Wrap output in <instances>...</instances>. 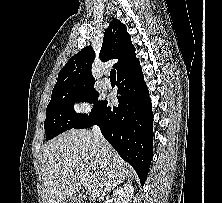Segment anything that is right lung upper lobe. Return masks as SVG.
I'll use <instances>...</instances> for the list:
<instances>
[{
	"label": "right lung upper lobe",
	"instance_id": "cb5924a9",
	"mask_svg": "<svg viewBox=\"0 0 222 203\" xmlns=\"http://www.w3.org/2000/svg\"><path fill=\"white\" fill-rule=\"evenodd\" d=\"M100 60L105 62L110 59H118L113 65L117 75L139 64L136 58L135 48L131 42V36L127 33L124 24L113 19L105 30ZM95 52L92 46H86L75 54L61 69L53 92L86 85H94V77L91 73Z\"/></svg>",
	"mask_w": 222,
	"mask_h": 203
}]
</instances>
